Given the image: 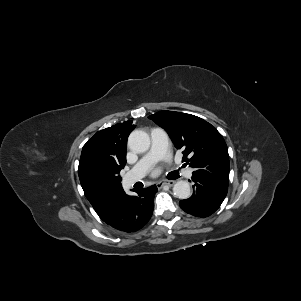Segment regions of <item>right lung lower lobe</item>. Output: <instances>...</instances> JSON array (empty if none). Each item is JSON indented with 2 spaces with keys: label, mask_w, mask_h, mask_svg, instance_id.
<instances>
[{
  "label": "right lung lower lobe",
  "mask_w": 301,
  "mask_h": 301,
  "mask_svg": "<svg viewBox=\"0 0 301 301\" xmlns=\"http://www.w3.org/2000/svg\"><path fill=\"white\" fill-rule=\"evenodd\" d=\"M134 191L137 192L136 196H129L123 191L110 213L102 220L124 232L141 229L152 216L157 187L153 185Z\"/></svg>",
  "instance_id": "98d812e1"
}]
</instances>
